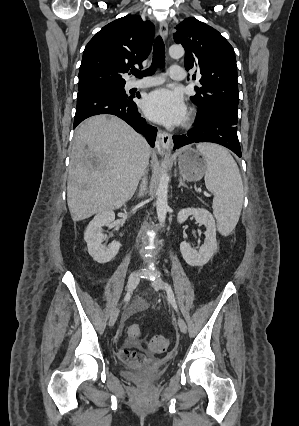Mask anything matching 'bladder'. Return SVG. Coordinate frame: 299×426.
I'll return each instance as SVG.
<instances>
[{"label": "bladder", "instance_id": "31cf9c89", "mask_svg": "<svg viewBox=\"0 0 299 426\" xmlns=\"http://www.w3.org/2000/svg\"><path fill=\"white\" fill-rule=\"evenodd\" d=\"M165 374L164 369H157V370H140V371H129L124 370L121 372V375L134 383L139 384H149L153 383L157 380H159L163 375Z\"/></svg>", "mask_w": 299, "mask_h": 426}]
</instances>
